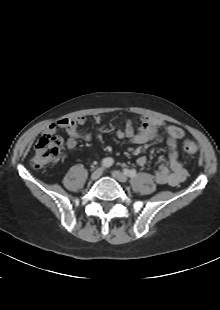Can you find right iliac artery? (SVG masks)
Here are the masks:
<instances>
[{
	"label": "right iliac artery",
	"mask_w": 220,
	"mask_h": 310,
	"mask_svg": "<svg viewBox=\"0 0 220 310\" xmlns=\"http://www.w3.org/2000/svg\"><path fill=\"white\" fill-rule=\"evenodd\" d=\"M113 162H114L113 159L110 157L104 158L102 161V166L104 168H108V167L112 166Z\"/></svg>",
	"instance_id": "82829eb1"
}]
</instances>
